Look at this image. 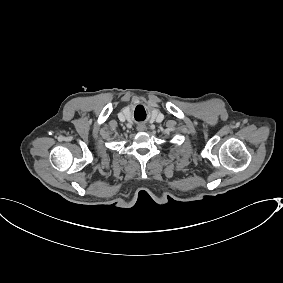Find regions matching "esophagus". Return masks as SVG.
Returning a JSON list of instances; mask_svg holds the SVG:
<instances>
[{
  "label": "esophagus",
  "instance_id": "34e87169",
  "mask_svg": "<svg viewBox=\"0 0 283 283\" xmlns=\"http://www.w3.org/2000/svg\"><path fill=\"white\" fill-rule=\"evenodd\" d=\"M145 129H146V126L143 125V124H139V125L137 126V130H138V131H143V130H145Z\"/></svg>",
  "mask_w": 283,
  "mask_h": 283
}]
</instances>
